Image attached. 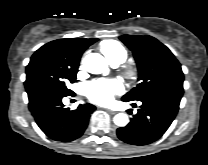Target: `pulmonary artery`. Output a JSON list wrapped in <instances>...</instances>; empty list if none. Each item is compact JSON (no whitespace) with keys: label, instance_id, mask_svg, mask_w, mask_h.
Here are the masks:
<instances>
[{"label":"pulmonary artery","instance_id":"e3ab8cb5","mask_svg":"<svg viewBox=\"0 0 208 165\" xmlns=\"http://www.w3.org/2000/svg\"><path fill=\"white\" fill-rule=\"evenodd\" d=\"M112 65H113V66H117V65H118V63H113Z\"/></svg>","mask_w":208,"mask_h":165}]
</instances>
